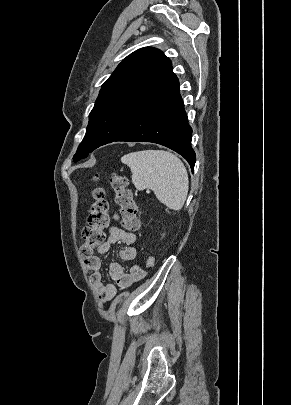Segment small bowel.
<instances>
[{
    "instance_id": "c3829d8e",
    "label": "small bowel",
    "mask_w": 291,
    "mask_h": 405,
    "mask_svg": "<svg viewBox=\"0 0 291 405\" xmlns=\"http://www.w3.org/2000/svg\"><path fill=\"white\" fill-rule=\"evenodd\" d=\"M115 221L118 220V215H114ZM136 240L134 233L122 229L118 225H112L108 230V238L98 247V254H107L112 245L118 242L124 243L126 246L120 251V258L122 261L130 262L136 258L137 251L132 246ZM87 270L91 273L90 282L95 290L98 298L102 302L112 300L116 293L118 286L121 289L131 286L133 282L140 279L144 272L140 266L134 265L128 272L118 262H113L109 266V274L114 281L113 283H105L101 273V260L98 256H92L84 260Z\"/></svg>"
}]
</instances>
